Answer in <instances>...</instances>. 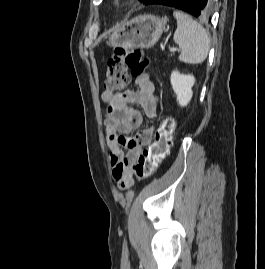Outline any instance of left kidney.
I'll return each instance as SVG.
<instances>
[{
    "instance_id": "1",
    "label": "left kidney",
    "mask_w": 265,
    "mask_h": 269,
    "mask_svg": "<svg viewBox=\"0 0 265 269\" xmlns=\"http://www.w3.org/2000/svg\"><path fill=\"white\" fill-rule=\"evenodd\" d=\"M170 81L179 105L187 106L193 95L192 87L195 78L192 75H184L175 70L171 73Z\"/></svg>"
}]
</instances>
